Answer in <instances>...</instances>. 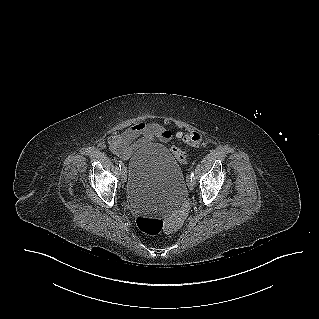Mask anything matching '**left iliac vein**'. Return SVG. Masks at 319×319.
Listing matches in <instances>:
<instances>
[{
	"label": "left iliac vein",
	"mask_w": 319,
	"mask_h": 319,
	"mask_svg": "<svg viewBox=\"0 0 319 319\" xmlns=\"http://www.w3.org/2000/svg\"><path fill=\"white\" fill-rule=\"evenodd\" d=\"M188 188L190 190H193L195 188V181L191 180V178H189V181H188Z\"/></svg>",
	"instance_id": "4c4485c4"
}]
</instances>
